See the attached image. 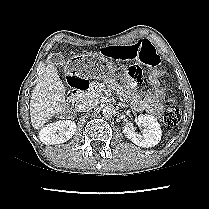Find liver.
Wrapping results in <instances>:
<instances>
[{
    "mask_svg": "<svg viewBox=\"0 0 209 209\" xmlns=\"http://www.w3.org/2000/svg\"><path fill=\"white\" fill-rule=\"evenodd\" d=\"M66 88L53 63H48L33 89L30 100L31 123L40 129L56 114L66 111Z\"/></svg>",
    "mask_w": 209,
    "mask_h": 209,
    "instance_id": "6515ba94",
    "label": "liver"
}]
</instances>
